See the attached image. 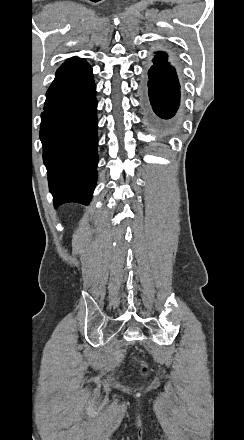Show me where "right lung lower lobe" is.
I'll list each match as a JSON object with an SVG mask.
<instances>
[{
  "mask_svg": "<svg viewBox=\"0 0 244 440\" xmlns=\"http://www.w3.org/2000/svg\"><path fill=\"white\" fill-rule=\"evenodd\" d=\"M97 101L88 63L56 72L41 114L40 139L54 205L88 204L97 180Z\"/></svg>",
  "mask_w": 244,
  "mask_h": 440,
  "instance_id": "98d812e1",
  "label": "right lung lower lobe"
}]
</instances>
